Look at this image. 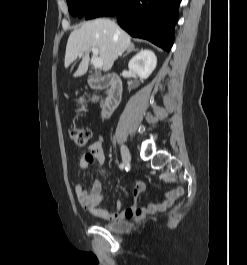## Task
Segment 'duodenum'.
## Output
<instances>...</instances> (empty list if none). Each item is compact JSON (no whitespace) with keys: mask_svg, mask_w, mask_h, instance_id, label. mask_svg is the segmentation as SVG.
Here are the masks:
<instances>
[{"mask_svg":"<svg viewBox=\"0 0 247 265\" xmlns=\"http://www.w3.org/2000/svg\"><path fill=\"white\" fill-rule=\"evenodd\" d=\"M90 85L95 89L107 88L109 95L102 109L104 117L110 116L120 103L122 95V84L120 79L113 74H107L98 79H92Z\"/></svg>","mask_w":247,"mask_h":265,"instance_id":"410a0bca","label":"duodenum"}]
</instances>
